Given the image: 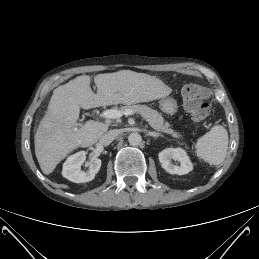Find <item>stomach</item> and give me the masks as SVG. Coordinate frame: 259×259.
Segmentation results:
<instances>
[{"instance_id": "1", "label": "stomach", "mask_w": 259, "mask_h": 259, "mask_svg": "<svg viewBox=\"0 0 259 259\" xmlns=\"http://www.w3.org/2000/svg\"><path fill=\"white\" fill-rule=\"evenodd\" d=\"M161 110L167 114H174L177 112V102L169 97H164L160 100Z\"/></svg>"}]
</instances>
